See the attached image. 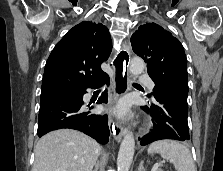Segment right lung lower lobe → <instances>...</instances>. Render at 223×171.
<instances>
[{"label": "right lung lower lobe", "instance_id": "98d812e1", "mask_svg": "<svg viewBox=\"0 0 223 171\" xmlns=\"http://www.w3.org/2000/svg\"><path fill=\"white\" fill-rule=\"evenodd\" d=\"M103 84H109L107 74L83 90L40 99L37 135L41 137L52 130L71 128L84 132L101 144L107 143L110 134L107 115L91 113L86 110L83 101L87 88H97ZM107 100L108 95L105 90L97 103H107Z\"/></svg>", "mask_w": 223, "mask_h": 171}]
</instances>
